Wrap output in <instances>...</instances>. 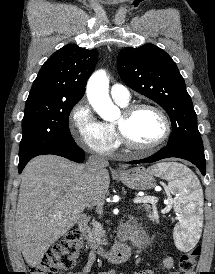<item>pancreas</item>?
Segmentation results:
<instances>
[{"instance_id": "cf45deb5", "label": "pancreas", "mask_w": 215, "mask_h": 274, "mask_svg": "<svg viewBox=\"0 0 215 274\" xmlns=\"http://www.w3.org/2000/svg\"><path fill=\"white\" fill-rule=\"evenodd\" d=\"M157 202V199L155 202L151 203L152 204V209L155 212L156 211V207H155V203ZM145 209L147 211H150L151 206L148 204H145ZM149 216L152 218V220L155 219V215L154 214H149ZM105 237V231L103 230L102 225L97 222V221H93L92 223V228L91 231L89 233V238L90 240L101 244V245H105L106 244V240L104 239Z\"/></svg>"}]
</instances>
